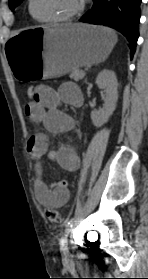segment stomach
<instances>
[{
    "instance_id": "obj_1",
    "label": "stomach",
    "mask_w": 148,
    "mask_h": 279,
    "mask_svg": "<svg viewBox=\"0 0 148 279\" xmlns=\"http://www.w3.org/2000/svg\"><path fill=\"white\" fill-rule=\"evenodd\" d=\"M114 31L91 25L39 26L8 40L6 59L16 82H48L83 66L104 61L112 51Z\"/></svg>"
}]
</instances>
